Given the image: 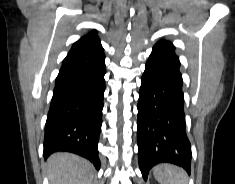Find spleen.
Here are the masks:
<instances>
[{"instance_id":"obj_1","label":"spleen","mask_w":235,"mask_h":184,"mask_svg":"<svg viewBox=\"0 0 235 184\" xmlns=\"http://www.w3.org/2000/svg\"><path fill=\"white\" fill-rule=\"evenodd\" d=\"M158 184H188V176L183 168L173 164H158L153 170Z\"/></svg>"}]
</instances>
